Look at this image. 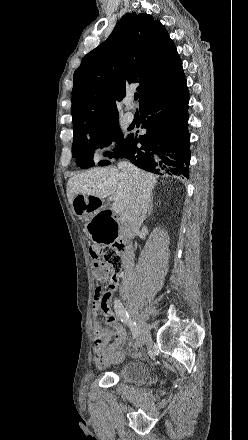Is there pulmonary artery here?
Listing matches in <instances>:
<instances>
[{
    "label": "pulmonary artery",
    "mask_w": 248,
    "mask_h": 440,
    "mask_svg": "<svg viewBox=\"0 0 248 440\" xmlns=\"http://www.w3.org/2000/svg\"><path fill=\"white\" fill-rule=\"evenodd\" d=\"M125 105H126V108H127V112L125 113V118H126V120L128 121V122H132L133 120H134V117H135V115H134V112L131 110L132 109V106H133V102H132V98L131 97H128L127 99H126V101H125Z\"/></svg>",
    "instance_id": "pulmonary-artery-1"
}]
</instances>
